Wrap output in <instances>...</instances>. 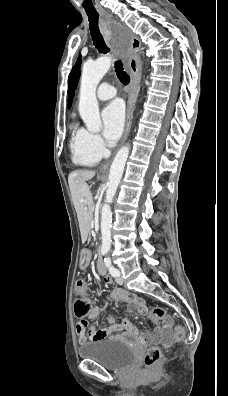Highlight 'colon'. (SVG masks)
<instances>
[{"label": "colon", "instance_id": "5ec220e1", "mask_svg": "<svg viewBox=\"0 0 228 396\" xmlns=\"http://www.w3.org/2000/svg\"><path fill=\"white\" fill-rule=\"evenodd\" d=\"M75 292H76V302L74 304V311L76 316L79 318V322L77 327L86 328L87 320L85 316L92 310L90 301L88 299V288L84 280H78L75 284ZM149 318L151 319H159V320H167V315L164 309L160 307L153 308L149 312ZM185 336V330L181 325H177L174 328V339L176 341H181ZM161 357V351L157 347H152L147 352L144 364L147 368H151L154 366Z\"/></svg>", "mask_w": 228, "mask_h": 396}]
</instances>
